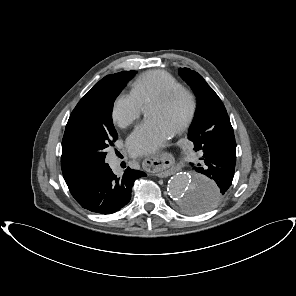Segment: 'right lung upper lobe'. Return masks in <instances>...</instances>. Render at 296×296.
<instances>
[{
	"instance_id": "1",
	"label": "right lung upper lobe",
	"mask_w": 296,
	"mask_h": 296,
	"mask_svg": "<svg viewBox=\"0 0 296 296\" xmlns=\"http://www.w3.org/2000/svg\"><path fill=\"white\" fill-rule=\"evenodd\" d=\"M74 118H75V114H74V111H73L70 118H69V120H68V123L66 125L67 127L70 126L74 122ZM63 176H64V179H65L66 183L72 181L74 178L77 177V176L67 175V174H63Z\"/></svg>"
}]
</instances>
